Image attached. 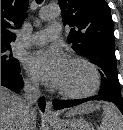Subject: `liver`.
<instances>
[{"label": "liver", "instance_id": "liver-1", "mask_svg": "<svg viewBox=\"0 0 123 130\" xmlns=\"http://www.w3.org/2000/svg\"><path fill=\"white\" fill-rule=\"evenodd\" d=\"M24 106L23 98L7 88L1 86V130H19L21 114ZM92 104H85L71 109L67 116L88 113L95 109ZM30 130H36V112L33 110L30 117Z\"/></svg>", "mask_w": 123, "mask_h": 130}]
</instances>
